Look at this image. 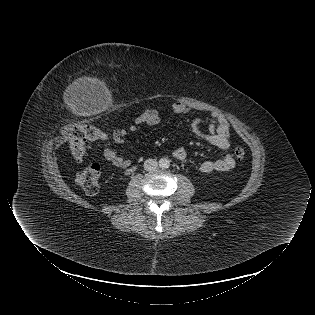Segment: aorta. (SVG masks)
Instances as JSON below:
<instances>
[{
  "mask_svg": "<svg viewBox=\"0 0 315 315\" xmlns=\"http://www.w3.org/2000/svg\"><path fill=\"white\" fill-rule=\"evenodd\" d=\"M159 166H160V168H162V169H167V168H169V166H170V160L167 159V158H161V159L159 160Z\"/></svg>",
  "mask_w": 315,
  "mask_h": 315,
  "instance_id": "obj_1",
  "label": "aorta"
}]
</instances>
